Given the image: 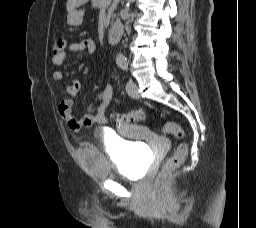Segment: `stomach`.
Returning <instances> with one entry per match:
<instances>
[{"label":"stomach","mask_w":256,"mask_h":228,"mask_svg":"<svg viewBox=\"0 0 256 228\" xmlns=\"http://www.w3.org/2000/svg\"><path fill=\"white\" fill-rule=\"evenodd\" d=\"M83 16H84L83 10H77L76 8L72 9L71 11L68 12L67 23L70 26H79L83 22Z\"/></svg>","instance_id":"obj_1"}]
</instances>
